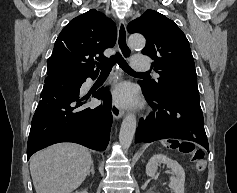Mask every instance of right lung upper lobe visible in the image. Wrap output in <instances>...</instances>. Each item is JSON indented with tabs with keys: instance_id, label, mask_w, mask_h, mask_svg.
I'll return each mask as SVG.
<instances>
[{
	"instance_id": "obj_1",
	"label": "right lung upper lobe",
	"mask_w": 237,
	"mask_h": 193,
	"mask_svg": "<svg viewBox=\"0 0 237 193\" xmlns=\"http://www.w3.org/2000/svg\"><path fill=\"white\" fill-rule=\"evenodd\" d=\"M115 41L114 22L91 9L72 19L61 31L52 56L47 60V71H60L75 77L97 74L95 60L105 62L103 51L113 47Z\"/></svg>"
}]
</instances>
